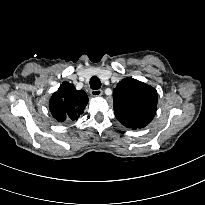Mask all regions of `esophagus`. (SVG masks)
Returning a JSON list of instances; mask_svg holds the SVG:
<instances>
[{
  "mask_svg": "<svg viewBox=\"0 0 205 205\" xmlns=\"http://www.w3.org/2000/svg\"><path fill=\"white\" fill-rule=\"evenodd\" d=\"M90 94H91L93 97L101 96V95H102V90H101V89L91 90V91H90Z\"/></svg>",
  "mask_w": 205,
  "mask_h": 205,
  "instance_id": "obj_1",
  "label": "esophagus"
}]
</instances>
